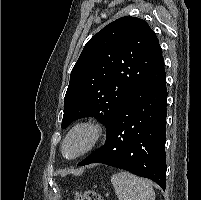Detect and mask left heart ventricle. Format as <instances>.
I'll return each mask as SVG.
<instances>
[{"instance_id":"b2bd125f","label":"left heart ventricle","mask_w":201,"mask_h":200,"mask_svg":"<svg viewBox=\"0 0 201 200\" xmlns=\"http://www.w3.org/2000/svg\"><path fill=\"white\" fill-rule=\"evenodd\" d=\"M90 134L85 130H79L73 133L65 144V154L73 156L82 151L88 144Z\"/></svg>"}]
</instances>
